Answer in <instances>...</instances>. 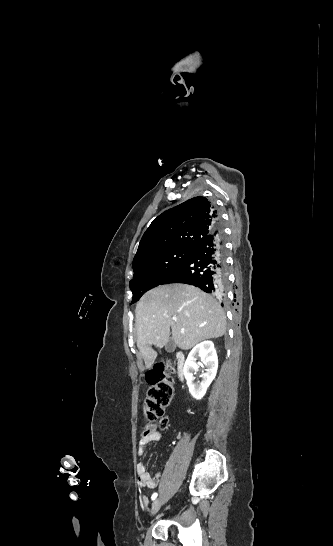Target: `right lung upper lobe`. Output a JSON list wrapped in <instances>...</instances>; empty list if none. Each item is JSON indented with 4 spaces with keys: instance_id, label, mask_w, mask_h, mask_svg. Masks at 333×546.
<instances>
[{
    "instance_id": "obj_1",
    "label": "right lung upper lobe",
    "mask_w": 333,
    "mask_h": 546,
    "mask_svg": "<svg viewBox=\"0 0 333 546\" xmlns=\"http://www.w3.org/2000/svg\"><path fill=\"white\" fill-rule=\"evenodd\" d=\"M217 216L214 205L202 196L163 212L144 233L133 267L165 250L193 247L218 226Z\"/></svg>"
}]
</instances>
